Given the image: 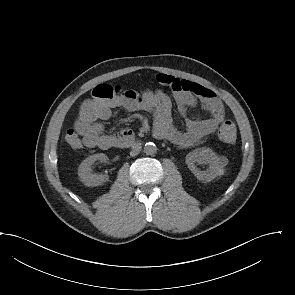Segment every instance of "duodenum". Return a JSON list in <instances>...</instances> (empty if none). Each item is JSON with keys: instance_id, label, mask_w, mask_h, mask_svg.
Returning <instances> with one entry per match:
<instances>
[{"instance_id": "duodenum-1", "label": "duodenum", "mask_w": 295, "mask_h": 295, "mask_svg": "<svg viewBox=\"0 0 295 295\" xmlns=\"http://www.w3.org/2000/svg\"><path fill=\"white\" fill-rule=\"evenodd\" d=\"M140 143L141 141L136 139L132 134H122L115 140L114 147H135L138 146Z\"/></svg>"}]
</instances>
